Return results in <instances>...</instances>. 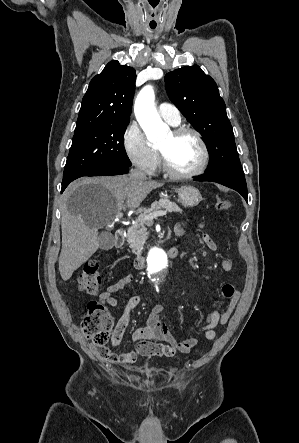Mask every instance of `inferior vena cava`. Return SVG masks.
Instances as JSON below:
<instances>
[{
	"label": "inferior vena cava",
	"mask_w": 299,
	"mask_h": 443,
	"mask_svg": "<svg viewBox=\"0 0 299 443\" xmlns=\"http://www.w3.org/2000/svg\"><path fill=\"white\" fill-rule=\"evenodd\" d=\"M130 177L134 180L146 179V174L140 169H134L131 171Z\"/></svg>",
	"instance_id": "1"
}]
</instances>
